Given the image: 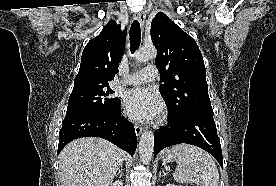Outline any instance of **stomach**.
I'll list each match as a JSON object with an SVG mask.
<instances>
[{"label": "stomach", "mask_w": 276, "mask_h": 186, "mask_svg": "<svg viewBox=\"0 0 276 186\" xmlns=\"http://www.w3.org/2000/svg\"><path fill=\"white\" fill-rule=\"evenodd\" d=\"M161 158L164 163H168V162L174 161L176 159V155L172 153L171 150L166 149L162 152Z\"/></svg>", "instance_id": "1"}]
</instances>
